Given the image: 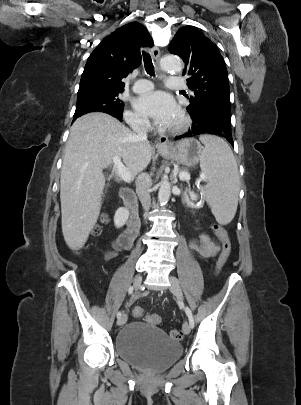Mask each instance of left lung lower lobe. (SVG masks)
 Instances as JSON below:
<instances>
[{"label": "left lung lower lobe", "instance_id": "0a47b994", "mask_svg": "<svg viewBox=\"0 0 301 405\" xmlns=\"http://www.w3.org/2000/svg\"><path fill=\"white\" fill-rule=\"evenodd\" d=\"M189 113L193 120L191 130L182 136H177L176 140L183 137L212 134L224 137L234 147L231 133V116L206 110Z\"/></svg>", "mask_w": 301, "mask_h": 405}]
</instances>
